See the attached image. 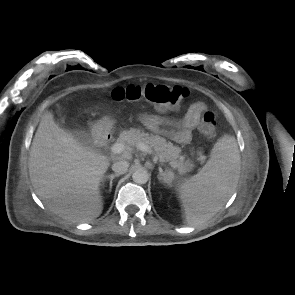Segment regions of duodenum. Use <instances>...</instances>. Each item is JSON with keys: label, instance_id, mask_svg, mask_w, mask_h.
Wrapping results in <instances>:
<instances>
[{"label": "duodenum", "instance_id": "1", "mask_svg": "<svg viewBox=\"0 0 295 295\" xmlns=\"http://www.w3.org/2000/svg\"><path fill=\"white\" fill-rule=\"evenodd\" d=\"M110 141V135L104 132L98 133L96 135V143L98 146L103 147Z\"/></svg>", "mask_w": 295, "mask_h": 295}]
</instances>
